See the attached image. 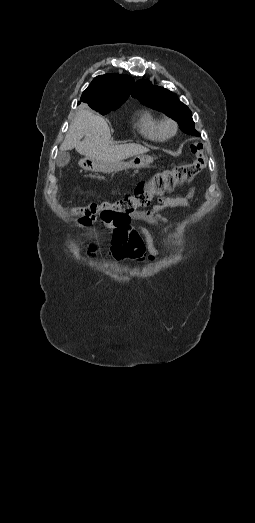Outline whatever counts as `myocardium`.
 <instances>
[{
	"mask_svg": "<svg viewBox=\"0 0 255 523\" xmlns=\"http://www.w3.org/2000/svg\"><path fill=\"white\" fill-rule=\"evenodd\" d=\"M178 129L177 123L172 118H166L162 122V130L165 136H173L176 134Z\"/></svg>",
	"mask_w": 255,
	"mask_h": 523,
	"instance_id": "myocardium-1",
	"label": "myocardium"
}]
</instances>
